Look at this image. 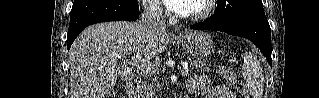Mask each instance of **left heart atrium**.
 Masks as SVG:
<instances>
[{"instance_id": "39dd6f15", "label": "left heart atrium", "mask_w": 319, "mask_h": 98, "mask_svg": "<svg viewBox=\"0 0 319 98\" xmlns=\"http://www.w3.org/2000/svg\"><path fill=\"white\" fill-rule=\"evenodd\" d=\"M164 2L168 10L175 13H184L188 11L191 1L190 0H165Z\"/></svg>"}]
</instances>
